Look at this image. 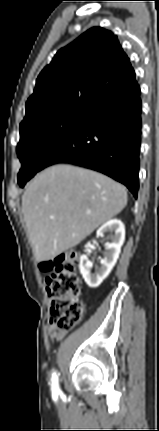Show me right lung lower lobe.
Segmentation results:
<instances>
[{"label": "right lung lower lobe", "mask_w": 159, "mask_h": 431, "mask_svg": "<svg viewBox=\"0 0 159 431\" xmlns=\"http://www.w3.org/2000/svg\"><path fill=\"white\" fill-rule=\"evenodd\" d=\"M139 85L89 114L46 153L41 170L70 163L96 170L124 184L137 197L141 143Z\"/></svg>", "instance_id": "1"}]
</instances>
